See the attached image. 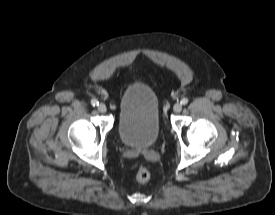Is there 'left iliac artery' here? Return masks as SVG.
<instances>
[{"mask_svg":"<svg viewBox=\"0 0 275 215\" xmlns=\"http://www.w3.org/2000/svg\"><path fill=\"white\" fill-rule=\"evenodd\" d=\"M188 101H189L188 98H183L180 103L182 105H186L188 103Z\"/></svg>","mask_w":275,"mask_h":215,"instance_id":"44dca946","label":"left iliac artery"}]
</instances>
